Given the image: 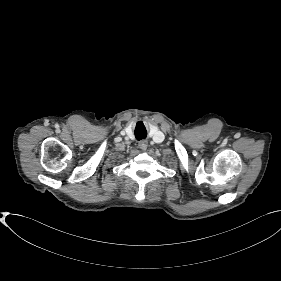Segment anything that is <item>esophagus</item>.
<instances>
[{"label":"esophagus","instance_id":"obj_1","mask_svg":"<svg viewBox=\"0 0 281 281\" xmlns=\"http://www.w3.org/2000/svg\"><path fill=\"white\" fill-rule=\"evenodd\" d=\"M138 146L141 150H146L148 146V142L146 140H142L139 142Z\"/></svg>","mask_w":281,"mask_h":281}]
</instances>
